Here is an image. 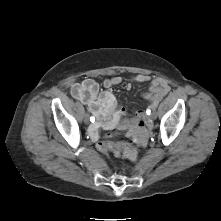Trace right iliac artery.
<instances>
[{
  "instance_id": "obj_1",
  "label": "right iliac artery",
  "mask_w": 221,
  "mask_h": 221,
  "mask_svg": "<svg viewBox=\"0 0 221 221\" xmlns=\"http://www.w3.org/2000/svg\"><path fill=\"white\" fill-rule=\"evenodd\" d=\"M90 121L93 123L95 121L94 117H90Z\"/></svg>"
}]
</instances>
